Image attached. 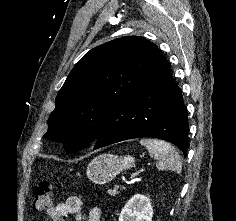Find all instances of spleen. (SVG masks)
Masks as SVG:
<instances>
[{
    "label": "spleen",
    "mask_w": 236,
    "mask_h": 221,
    "mask_svg": "<svg viewBox=\"0 0 236 221\" xmlns=\"http://www.w3.org/2000/svg\"><path fill=\"white\" fill-rule=\"evenodd\" d=\"M140 144L145 146L151 157L155 158L158 170H172L177 174L181 173L182 162L174 146L170 143L160 140L144 138Z\"/></svg>",
    "instance_id": "3e777b00"
}]
</instances>
